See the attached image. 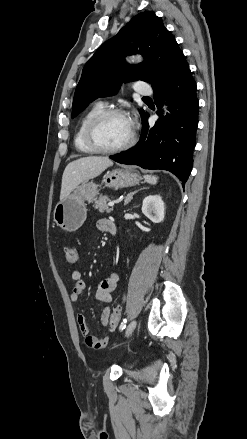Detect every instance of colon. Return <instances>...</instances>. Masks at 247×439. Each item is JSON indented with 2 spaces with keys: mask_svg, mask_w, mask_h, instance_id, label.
<instances>
[{
  "mask_svg": "<svg viewBox=\"0 0 247 439\" xmlns=\"http://www.w3.org/2000/svg\"><path fill=\"white\" fill-rule=\"evenodd\" d=\"M66 259L69 263H76L79 259V252L75 247H70L66 250ZM122 313V307L121 305H116L110 314L109 317V327L111 329H115L120 321Z\"/></svg>",
  "mask_w": 247,
  "mask_h": 439,
  "instance_id": "colon-1",
  "label": "colon"
}]
</instances>
